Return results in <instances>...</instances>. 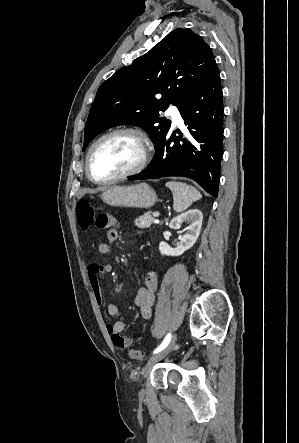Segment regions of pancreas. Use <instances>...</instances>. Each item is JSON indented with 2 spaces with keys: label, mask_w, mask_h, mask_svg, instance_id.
Here are the masks:
<instances>
[{
  "label": "pancreas",
  "mask_w": 299,
  "mask_h": 443,
  "mask_svg": "<svg viewBox=\"0 0 299 443\" xmlns=\"http://www.w3.org/2000/svg\"><path fill=\"white\" fill-rule=\"evenodd\" d=\"M153 223H154V218L151 216V212H146L145 214H143L142 216H140L135 220V224L139 228L143 229L150 228Z\"/></svg>",
  "instance_id": "pancreas-1"
}]
</instances>
